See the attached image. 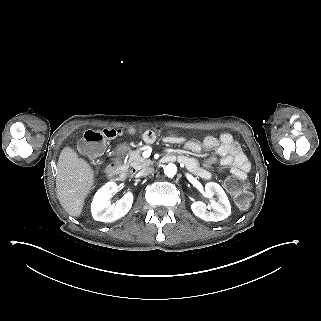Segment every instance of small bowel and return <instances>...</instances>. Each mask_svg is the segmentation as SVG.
<instances>
[{
  "label": "small bowel",
  "mask_w": 321,
  "mask_h": 321,
  "mask_svg": "<svg viewBox=\"0 0 321 321\" xmlns=\"http://www.w3.org/2000/svg\"><path fill=\"white\" fill-rule=\"evenodd\" d=\"M155 133L145 131L142 134V139L147 143H152L155 140ZM165 141L173 144L184 143L186 150L193 154H200L204 149L215 150V155L208 158L203 163L192 157L180 156L182 163L196 176L208 180L212 177L210 167L219 162L222 166L230 168L231 175L245 177L250 170V162L247 156L243 153L240 145L228 133H223L219 138L207 136L202 142L196 140L185 141L181 136H169Z\"/></svg>",
  "instance_id": "1"
}]
</instances>
